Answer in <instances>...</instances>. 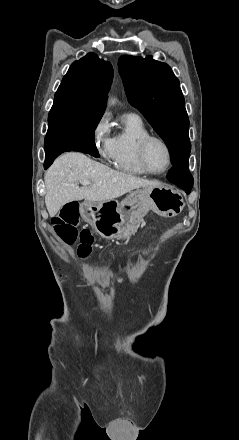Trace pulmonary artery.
<instances>
[{
  "mask_svg": "<svg viewBox=\"0 0 239 440\" xmlns=\"http://www.w3.org/2000/svg\"><path fill=\"white\" fill-rule=\"evenodd\" d=\"M129 115H131V116H135V117H139V118H140V116H139L138 114H135V113H131V114H129Z\"/></svg>",
  "mask_w": 239,
  "mask_h": 440,
  "instance_id": "1",
  "label": "pulmonary artery"
}]
</instances>
